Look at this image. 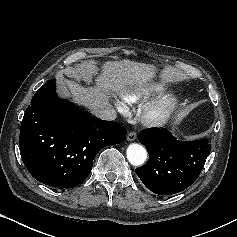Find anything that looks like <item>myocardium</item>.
<instances>
[{"instance_id":"f54148a6","label":"myocardium","mask_w":237,"mask_h":237,"mask_svg":"<svg viewBox=\"0 0 237 237\" xmlns=\"http://www.w3.org/2000/svg\"><path fill=\"white\" fill-rule=\"evenodd\" d=\"M177 107V100L168 96L145 106L140 112L141 122L149 127H160L168 122Z\"/></svg>"}]
</instances>
